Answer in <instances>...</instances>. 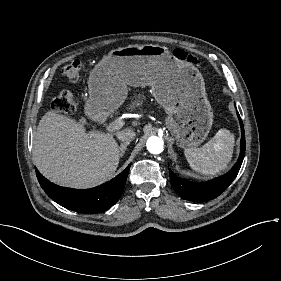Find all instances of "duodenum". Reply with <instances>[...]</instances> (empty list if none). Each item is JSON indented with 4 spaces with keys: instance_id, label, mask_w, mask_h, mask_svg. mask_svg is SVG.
I'll list each match as a JSON object with an SVG mask.
<instances>
[{
    "instance_id": "410a0bca",
    "label": "duodenum",
    "mask_w": 281,
    "mask_h": 281,
    "mask_svg": "<svg viewBox=\"0 0 281 281\" xmlns=\"http://www.w3.org/2000/svg\"><path fill=\"white\" fill-rule=\"evenodd\" d=\"M98 123H99L101 126H106V125L109 123V118H108L106 115H101V116L98 118Z\"/></svg>"
}]
</instances>
